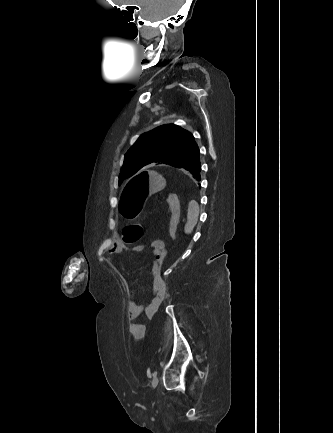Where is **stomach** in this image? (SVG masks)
Wrapping results in <instances>:
<instances>
[{"instance_id":"1","label":"stomach","mask_w":333,"mask_h":433,"mask_svg":"<svg viewBox=\"0 0 333 433\" xmlns=\"http://www.w3.org/2000/svg\"><path fill=\"white\" fill-rule=\"evenodd\" d=\"M160 169H149L128 180L119 199L118 211L126 219L137 218L147 198L164 188Z\"/></svg>"}]
</instances>
